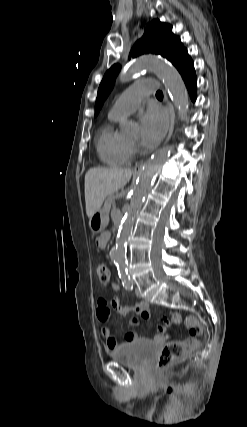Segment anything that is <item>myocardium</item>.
Instances as JSON below:
<instances>
[{
	"instance_id": "f54148a6",
	"label": "myocardium",
	"mask_w": 247,
	"mask_h": 427,
	"mask_svg": "<svg viewBox=\"0 0 247 427\" xmlns=\"http://www.w3.org/2000/svg\"><path fill=\"white\" fill-rule=\"evenodd\" d=\"M128 144H129L130 147L134 146V143H132V142H128Z\"/></svg>"
}]
</instances>
